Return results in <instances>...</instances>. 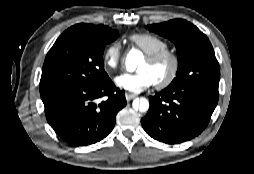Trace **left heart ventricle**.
I'll list each match as a JSON object with an SVG mask.
<instances>
[{
    "label": "left heart ventricle",
    "mask_w": 254,
    "mask_h": 174,
    "mask_svg": "<svg viewBox=\"0 0 254 174\" xmlns=\"http://www.w3.org/2000/svg\"><path fill=\"white\" fill-rule=\"evenodd\" d=\"M170 68L171 62L169 59L161 60L155 64H151L145 59L138 66L139 71H145L150 74L154 83L164 80L168 76Z\"/></svg>",
    "instance_id": "1"
}]
</instances>
